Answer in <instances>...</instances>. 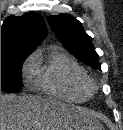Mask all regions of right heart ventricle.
Returning <instances> with one entry per match:
<instances>
[{
    "mask_svg": "<svg viewBox=\"0 0 123 130\" xmlns=\"http://www.w3.org/2000/svg\"><path fill=\"white\" fill-rule=\"evenodd\" d=\"M29 76L42 93L65 102H83L92 91L86 70L59 47L34 54L29 63Z\"/></svg>",
    "mask_w": 123,
    "mask_h": 130,
    "instance_id": "obj_1",
    "label": "right heart ventricle"
}]
</instances>
